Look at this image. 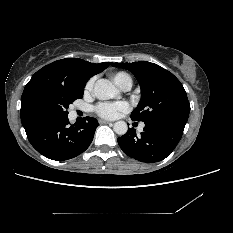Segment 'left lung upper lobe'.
<instances>
[{
	"instance_id": "1",
	"label": "left lung upper lobe",
	"mask_w": 233,
	"mask_h": 233,
	"mask_svg": "<svg viewBox=\"0 0 233 233\" xmlns=\"http://www.w3.org/2000/svg\"><path fill=\"white\" fill-rule=\"evenodd\" d=\"M133 73L141 86V99L132 111L133 121L184 128L190 104L181 82L161 66L147 61L111 63Z\"/></svg>"
}]
</instances>
